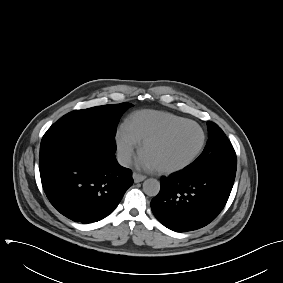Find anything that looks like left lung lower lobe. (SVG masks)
<instances>
[{"instance_id":"1","label":"left lung lower lobe","mask_w":283,"mask_h":283,"mask_svg":"<svg viewBox=\"0 0 283 283\" xmlns=\"http://www.w3.org/2000/svg\"><path fill=\"white\" fill-rule=\"evenodd\" d=\"M235 173L183 169L161 179V189L151 201L155 217L167 228L186 232L213 221L225 206Z\"/></svg>"}]
</instances>
